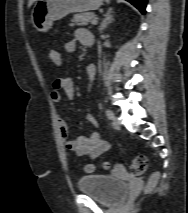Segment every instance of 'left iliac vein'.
<instances>
[{
	"label": "left iliac vein",
	"instance_id": "4c4485c4",
	"mask_svg": "<svg viewBox=\"0 0 188 213\" xmlns=\"http://www.w3.org/2000/svg\"><path fill=\"white\" fill-rule=\"evenodd\" d=\"M112 126L115 129H120L121 128L120 121L115 116H114L113 121H112Z\"/></svg>",
	"mask_w": 188,
	"mask_h": 213
}]
</instances>
